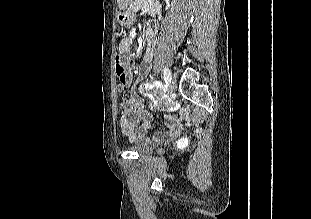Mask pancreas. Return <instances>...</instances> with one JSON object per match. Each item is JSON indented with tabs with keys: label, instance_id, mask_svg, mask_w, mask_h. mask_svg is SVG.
Wrapping results in <instances>:
<instances>
[{
	"label": "pancreas",
	"instance_id": "pancreas-1",
	"mask_svg": "<svg viewBox=\"0 0 311 219\" xmlns=\"http://www.w3.org/2000/svg\"><path fill=\"white\" fill-rule=\"evenodd\" d=\"M154 7H155L154 0H135L130 5V10L132 12H136L137 10L142 9V11L146 13L154 9Z\"/></svg>",
	"mask_w": 311,
	"mask_h": 219
}]
</instances>
